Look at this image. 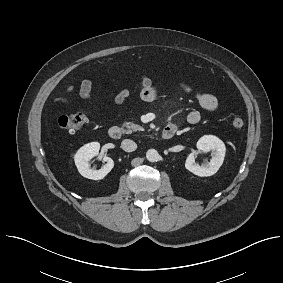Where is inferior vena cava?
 <instances>
[{"label": "inferior vena cava", "mask_w": 283, "mask_h": 283, "mask_svg": "<svg viewBox=\"0 0 283 283\" xmlns=\"http://www.w3.org/2000/svg\"><path fill=\"white\" fill-rule=\"evenodd\" d=\"M121 148L126 152L135 151L137 148V144L130 139H124L121 143Z\"/></svg>", "instance_id": "602c4592"}]
</instances>
